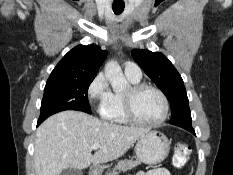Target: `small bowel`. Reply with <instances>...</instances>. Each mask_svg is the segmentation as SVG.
<instances>
[{"instance_id": "c3829d8e", "label": "small bowel", "mask_w": 233, "mask_h": 175, "mask_svg": "<svg viewBox=\"0 0 233 175\" xmlns=\"http://www.w3.org/2000/svg\"><path fill=\"white\" fill-rule=\"evenodd\" d=\"M134 175H171L166 168H155L148 171H138Z\"/></svg>"}]
</instances>
